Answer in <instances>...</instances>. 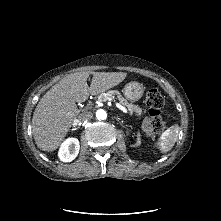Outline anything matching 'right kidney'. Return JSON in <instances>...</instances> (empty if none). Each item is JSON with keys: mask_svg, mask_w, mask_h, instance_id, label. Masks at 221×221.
Wrapping results in <instances>:
<instances>
[{"mask_svg": "<svg viewBox=\"0 0 221 221\" xmlns=\"http://www.w3.org/2000/svg\"><path fill=\"white\" fill-rule=\"evenodd\" d=\"M80 149V144L78 139L69 138L64 143H62L58 156L63 162H71L74 160Z\"/></svg>", "mask_w": 221, "mask_h": 221, "instance_id": "ca27d5eb", "label": "right kidney"}]
</instances>
